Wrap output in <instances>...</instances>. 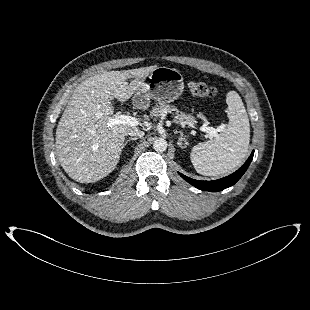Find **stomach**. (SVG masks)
<instances>
[{"mask_svg":"<svg viewBox=\"0 0 310 310\" xmlns=\"http://www.w3.org/2000/svg\"><path fill=\"white\" fill-rule=\"evenodd\" d=\"M149 79V83L142 81L134 92L133 101L138 108L147 107L150 99L170 103L184 90L183 76L175 68L155 67L150 72Z\"/></svg>","mask_w":310,"mask_h":310,"instance_id":"obj_1","label":"stomach"}]
</instances>
